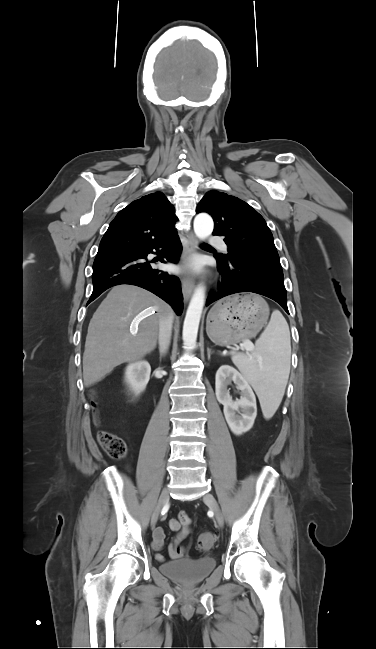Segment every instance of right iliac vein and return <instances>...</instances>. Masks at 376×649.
Instances as JSON below:
<instances>
[{
  "label": "right iliac vein",
  "instance_id": "obj_1",
  "mask_svg": "<svg viewBox=\"0 0 376 649\" xmlns=\"http://www.w3.org/2000/svg\"><path fill=\"white\" fill-rule=\"evenodd\" d=\"M169 500V491L167 488H164L163 491L161 492V495L159 497L158 503L153 511L152 517H151V525L154 527L157 523L159 514L161 512V509L164 507V505L168 502Z\"/></svg>",
  "mask_w": 376,
  "mask_h": 649
}]
</instances>
